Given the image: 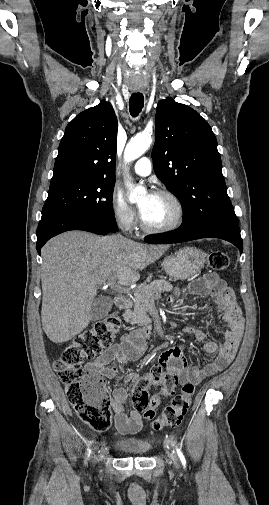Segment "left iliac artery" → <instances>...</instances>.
I'll use <instances>...</instances> for the list:
<instances>
[{"label": "left iliac artery", "mask_w": 269, "mask_h": 505, "mask_svg": "<svg viewBox=\"0 0 269 505\" xmlns=\"http://www.w3.org/2000/svg\"><path fill=\"white\" fill-rule=\"evenodd\" d=\"M176 451H177V455L180 458V461H181L183 467L185 468L186 467V460H185V457H184L182 451L179 448H176Z\"/></svg>", "instance_id": "obj_1"}]
</instances>
